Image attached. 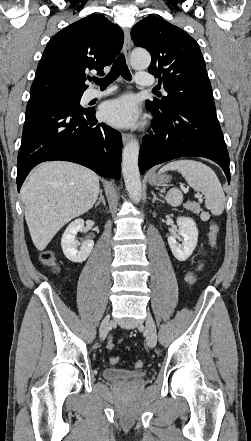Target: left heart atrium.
I'll use <instances>...</instances> for the list:
<instances>
[{"label": "left heart atrium", "instance_id": "left-heart-atrium-1", "mask_svg": "<svg viewBox=\"0 0 251 441\" xmlns=\"http://www.w3.org/2000/svg\"><path fill=\"white\" fill-rule=\"evenodd\" d=\"M103 121L116 127H132L140 118L135 100L130 96H122L105 102L100 108Z\"/></svg>", "mask_w": 251, "mask_h": 441}]
</instances>
